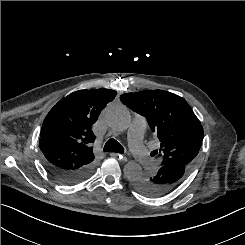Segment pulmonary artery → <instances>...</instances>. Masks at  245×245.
Instances as JSON below:
<instances>
[{"instance_id":"e3ab8cb5","label":"pulmonary artery","mask_w":245,"mask_h":245,"mask_svg":"<svg viewBox=\"0 0 245 245\" xmlns=\"http://www.w3.org/2000/svg\"><path fill=\"white\" fill-rule=\"evenodd\" d=\"M147 127L146 119L142 116H136L129 128L128 139L130 148L135 154L139 163L147 169L153 164L152 158L149 156L146 147L142 143V137Z\"/></svg>"}]
</instances>
